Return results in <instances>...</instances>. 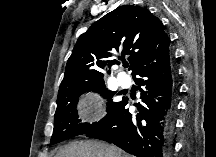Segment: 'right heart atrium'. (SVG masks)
<instances>
[{
  "instance_id": "d8ad5b80",
  "label": "right heart atrium",
  "mask_w": 216,
  "mask_h": 157,
  "mask_svg": "<svg viewBox=\"0 0 216 157\" xmlns=\"http://www.w3.org/2000/svg\"><path fill=\"white\" fill-rule=\"evenodd\" d=\"M104 114L105 108L101 98L96 94L91 95L89 100V109L85 117L86 120L90 122L98 121L104 116Z\"/></svg>"
}]
</instances>
